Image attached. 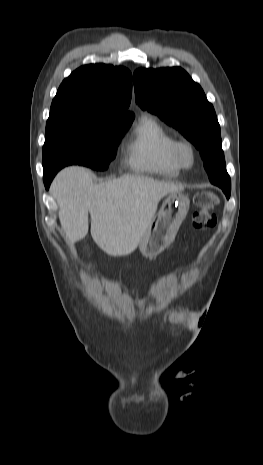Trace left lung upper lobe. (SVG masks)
<instances>
[{"label":"left lung upper lobe","mask_w":263,"mask_h":465,"mask_svg":"<svg viewBox=\"0 0 263 465\" xmlns=\"http://www.w3.org/2000/svg\"><path fill=\"white\" fill-rule=\"evenodd\" d=\"M136 102L178 129L202 156L219 162L215 185L230 197L231 181L226 171L220 126L214 108L202 88L180 67L140 68L134 72Z\"/></svg>","instance_id":"obj_1"}]
</instances>
